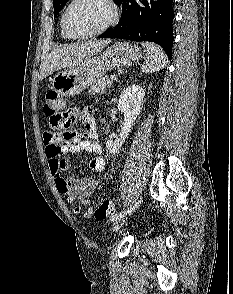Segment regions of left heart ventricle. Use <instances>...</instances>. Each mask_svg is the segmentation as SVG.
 <instances>
[{"mask_svg": "<svg viewBox=\"0 0 233 294\" xmlns=\"http://www.w3.org/2000/svg\"><path fill=\"white\" fill-rule=\"evenodd\" d=\"M109 18L108 8L99 0H80L68 12L67 27L77 35L99 29Z\"/></svg>", "mask_w": 233, "mask_h": 294, "instance_id": "left-heart-ventricle-1", "label": "left heart ventricle"}]
</instances>
